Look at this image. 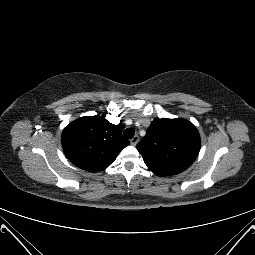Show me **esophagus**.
<instances>
[{
	"instance_id": "obj_1",
	"label": "esophagus",
	"mask_w": 255,
	"mask_h": 255,
	"mask_svg": "<svg viewBox=\"0 0 255 255\" xmlns=\"http://www.w3.org/2000/svg\"><path fill=\"white\" fill-rule=\"evenodd\" d=\"M139 141V137L138 136H134L131 140L130 143L135 146Z\"/></svg>"
}]
</instances>
